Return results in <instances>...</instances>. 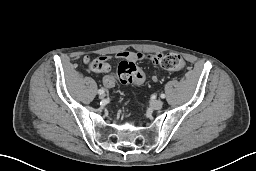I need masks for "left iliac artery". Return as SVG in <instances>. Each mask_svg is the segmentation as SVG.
<instances>
[{
    "label": "left iliac artery",
    "mask_w": 256,
    "mask_h": 171,
    "mask_svg": "<svg viewBox=\"0 0 256 171\" xmlns=\"http://www.w3.org/2000/svg\"><path fill=\"white\" fill-rule=\"evenodd\" d=\"M160 97H161V98H165V94L162 93V94L160 95Z\"/></svg>",
    "instance_id": "1"
}]
</instances>
